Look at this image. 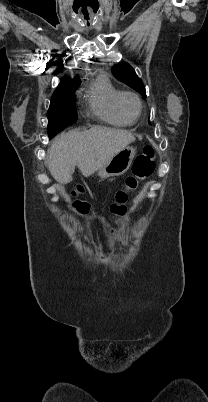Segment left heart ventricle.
<instances>
[{
	"instance_id": "obj_1",
	"label": "left heart ventricle",
	"mask_w": 208,
	"mask_h": 402,
	"mask_svg": "<svg viewBox=\"0 0 208 402\" xmlns=\"http://www.w3.org/2000/svg\"><path fill=\"white\" fill-rule=\"evenodd\" d=\"M122 104L124 109L130 113L131 115H136L138 112V104L135 101V99H133L130 96H125L122 100Z\"/></svg>"
}]
</instances>
